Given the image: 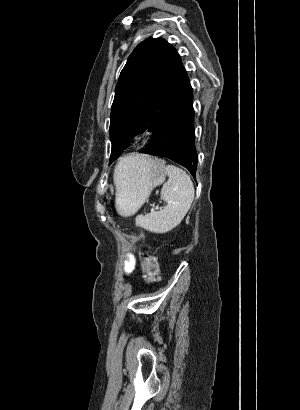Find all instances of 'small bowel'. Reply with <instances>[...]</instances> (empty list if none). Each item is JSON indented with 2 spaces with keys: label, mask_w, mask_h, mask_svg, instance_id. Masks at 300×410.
<instances>
[{
  "label": "small bowel",
  "mask_w": 300,
  "mask_h": 410,
  "mask_svg": "<svg viewBox=\"0 0 300 410\" xmlns=\"http://www.w3.org/2000/svg\"><path fill=\"white\" fill-rule=\"evenodd\" d=\"M135 265H136V260L134 256L130 253H128L125 256V260L123 262V272L125 275L129 276L131 275L134 270H135Z\"/></svg>",
  "instance_id": "c3829d8e"
}]
</instances>
